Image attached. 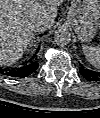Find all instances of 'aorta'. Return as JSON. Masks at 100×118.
<instances>
[{
  "instance_id": "obj_1",
  "label": "aorta",
  "mask_w": 100,
  "mask_h": 118,
  "mask_svg": "<svg viewBox=\"0 0 100 118\" xmlns=\"http://www.w3.org/2000/svg\"><path fill=\"white\" fill-rule=\"evenodd\" d=\"M54 41L57 45L65 46L71 41V34L67 29L60 28L54 34Z\"/></svg>"
}]
</instances>
